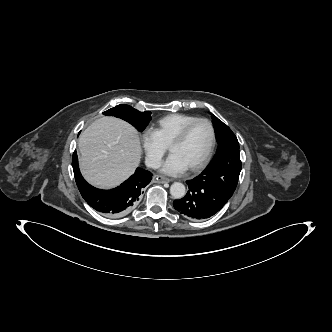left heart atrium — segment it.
<instances>
[{
	"label": "left heart atrium",
	"instance_id": "left-heart-atrium-1",
	"mask_svg": "<svg viewBox=\"0 0 332 332\" xmlns=\"http://www.w3.org/2000/svg\"><path fill=\"white\" fill-rule=\"evenodd\" d=\"M187 169V166L180 160V158L172 153L161 165V171L167 175H179Z\"/></svg>",
	"mask_w": 332,
	"mask_h": 332
}]
</instances>
